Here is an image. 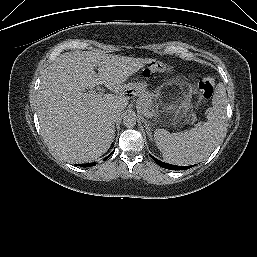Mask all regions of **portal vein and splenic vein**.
Returning <instances> with one entry per match:
<instances>
[{"instance_id": "18ae733b", "label": "portal vein and splenic vein", "mask_w": 257, "mask_h": 257, "mask_svg": "<svg viewBox=\"0 0 257 257\" xmlns=\"http://www.w3.org/2000/svg\"><path fill=\"white\" fill-rule=\"evenodd\" d=\"M84 99L85 100H92V101H95V100H98L102 97L101 94L99 93H96L94 91H90V93H84L83 95ZM143 114L147 117V118H151L152 114L151 112H149L148 110L144 109L143 110Z\"/></svg>"}]
</instances>
